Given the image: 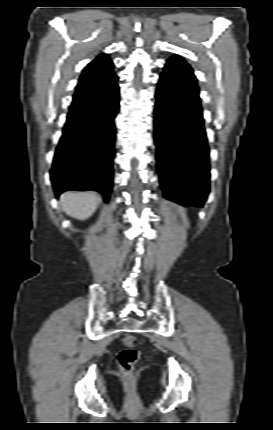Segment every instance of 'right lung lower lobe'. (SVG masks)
<instances>
[{
	"mask_svg": "<svg viewBox=\"0 0 273 430\" xmlns=\"http://www.w3.org/2000/svg\"><path fill=\"white\" fill-rule=\"evenodd\" d=\"M117 76L90 88L71 106L51 169L55 195L68 190H95L108 202L115 157V123L119 111Z\"/></svg>",
	"mask_w": 273,
	"mask_h": 430,
	"instance_id": "1",
	"label": "right lung lower lobe"
}]
</instances>
